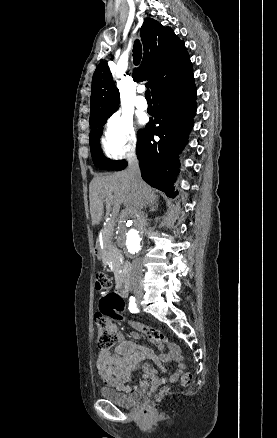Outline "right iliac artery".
<instances>
[{
	"label": "right iliac artery",
	"instance_id": "right-iliac-artery-1",
	"mask_svg": "<svg viewBox=\"0 0 277 438\" xmlns=\"http://www.w3.org/2000/svg\"><path fill=\"white\" fill-rule=\"evenodd\" d=\"M129 310H130L131 313H136L138 311L137 310L136 300L132 296L129 299Z\"/></svg>",
	"mask_w": 277,
	"mask_h": 438
}]
</instances>
